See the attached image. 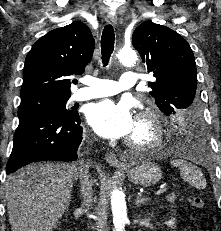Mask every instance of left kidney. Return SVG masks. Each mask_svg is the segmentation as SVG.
<instances>
[{"label": "left kidney", "instance_id": "obj_1", "mask_svg": "<svg viewBox=\"0 0 221 231\" xmlns=\"http://www.w3.org/2000/svg\"><path fill=\"white\" fill-rule=\"evenodd\" d=\"M166 225L170 228H174V224H175V218H171L168 221L165 222Z\"/></svg>", "mask_w": 221, "mask_h": 231}]
</instances>
